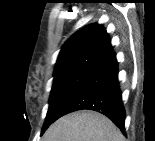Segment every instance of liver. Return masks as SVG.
<instances>
[{
    "mask_svg": "<svg viewBox=\"0 0 155 141\" xmlns=\"http://www.w3.org/2000/svg\"><path fill=\"white\" fill-rule=\"evenodd\" d=\"M44 141H124V136L104 115L82 110L54 122L44 134Z\"/></svg>",
    "mask_w": 155,
    "mask_h": 141,
    "instance_id": "obj_1",
    "label": "liver"
}]
</instances>
